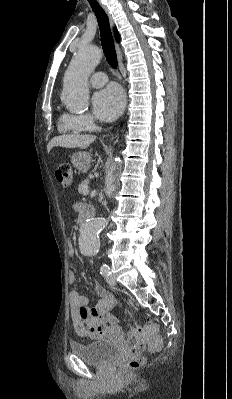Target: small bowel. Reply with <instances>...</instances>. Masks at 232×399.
<instances>
[{"mask_svg":"<svg viewBox=\"0 0 232 399\" xmlns=\"http://www.w3.org/2000/svg\"><path fill=\"white\" fill-rule=\"evenodd\" d=\"M70 258L76 257V248L72 240L67 242ZM76 283V276L70 274L69 284ZM92 291L101 298L94 306H90L87 297L77 291L69 292V316L72 320V329L81 334H91L98 339H106L121 330L120 324L113 321L106 322L112 317L115 306L114 295L103 289L96 281L91 285Z\"/></svg>","mask_w":232,"mask_h":399,"instance_id":"obj_1","label":"small bowel"}]
</instances>
